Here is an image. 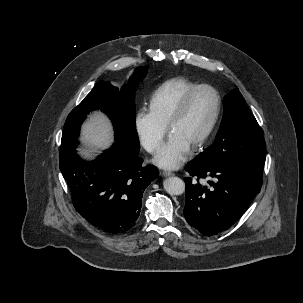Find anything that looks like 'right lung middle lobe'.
Instances as JSON below:
<instances>
[{
    "label": "right lung middle lobe",
    "mask_w": 303,
    "mask_h": 303,
    "mask_svg": "<svg viewBox=\"0 0 303 303\" xmlns=\"http://www.w3.org/2000/svg\"><path fill=\"white\" fill-rule=\"evenodd\" d=\"M146 71L147 66L136 68L130 82L123 86L121 91L108 82L97 83L68 115L63 128L61 147L76 141L80 126L89 112L101 110L113 122L115 142L130 152L138 153L140 145L135 127L134 94L136 86L145 77Z\"/></svg>",
    "instance_id": "1"
}]
</instances>
